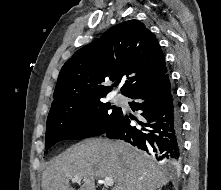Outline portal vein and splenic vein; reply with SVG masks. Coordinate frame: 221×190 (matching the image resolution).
Returning a JSON list of instances; mask_svg holds the SVG:
<instances>
[{"label":"portal vein and splenic vein","mask_w":221,"mask_h":190,"mask_svg":"<svg viewBox=\"0 0 221 190\" xmlns=\"http://www.w3.org/2000/svg\"><path fill=\"white\" fill-rule=\"evenodd\" d=\"M71 180H72V182L80 183L81 182V177L76 176V177H73ZM104 183L107 186H112L114 184V180L111 177H107V178L104 179Z\"/></svg>","instance_id":"portal-vein-and-splenic-vein-1"}]
</instances>
